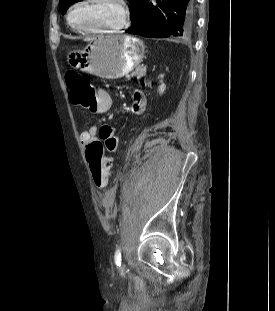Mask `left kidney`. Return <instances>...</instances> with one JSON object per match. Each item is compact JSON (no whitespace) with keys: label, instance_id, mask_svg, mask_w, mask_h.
I'll use <instances>...</instances> for the list:
<instances>
[{"label":"left kidney","instance_id":"5707ae66","mask_svg":"<svg viewBox=\"0 0 275 311\" xmlns=\"http://www.w3.org/2000/svg\"><path fill=\"white\" fill-rule=\"evenodd\" d=\"M164 77V75H160L159 76V78H163ZM161 82V85L159 86V88H158V92H159V94L160 95H162L163 93H164V91L166 90V85L163 83V81L161 80L160 81Z\"/></svg>","mask_w":275,"mask_h":311}]
</instances>
